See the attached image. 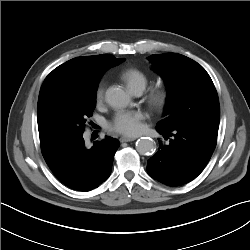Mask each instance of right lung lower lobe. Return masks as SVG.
Masks as SVG:
<instances>
[{
	"label": "right lung lower lobe",
	"instance_id": "1",
	"mask_svg": "<svg viewBox=\"0 0 250 250\" xmlns=\"http://www.w3.org/2000/svg\"><path fill=\"white\" fill-rule=\"evenodd\" d=\"M40 143L43 157L56 178L65 186L83 192L97 188L110 176L120 145L117 139L106 136L88 148L83 133Z\"/></svg>",
	"mask_w": 250,
	"mask_h": 250
}]
</instances>
